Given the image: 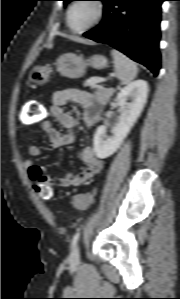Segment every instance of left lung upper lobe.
Listing matches in <instances>:
<instances>
[{
	"mask_svg": "<svg viewBox=\"0 0 180 299\" xmlns=\"http://www.w3.org/2000/svg\"><path fill=\"white\" fill-rule=\"evenodd\" d=\"M64 1L65 4L69 3L70 1H74V0H62ZM99 1H103V0H99Z\"/></svg>",
	"mask_w": 180,
	"mask_h": 299,
	"instance_id": "1",
	"label": "left lung upper lobe"
}]
</instances>
